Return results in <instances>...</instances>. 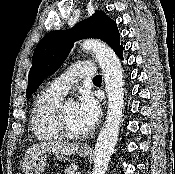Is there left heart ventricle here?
Instances as JSON below:
<instances>
[{"label":"left heart ventricle","mask_w":175,"mask_h":174,"mask_svg":"<svg viewBox=\"0 0 175 174\" xmlns=\"http://www.w3.org/2000/svg\"><path fill=\"white\" fill-rule=\"evenodd\" d=\"M64 112L67 125L71 131L81 133L88 130L77 113L75 102H66Z\"/></svg>","instance_id":"1"}]
</instances>
